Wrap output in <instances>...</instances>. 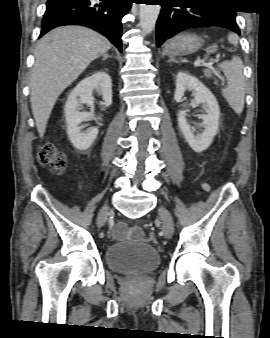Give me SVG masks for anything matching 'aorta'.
<instances>
[{"label": "aorta", "instance_id": "1", "mask_svg": "<svg viewBox=\"0 0 270 338\" xmlns=\"http://www.w3.org/2000/svg\"><path fill=\"white\" fill-rule=\"evenodd\" d=\"M160 13L159 5L141 4L139 11L140 26L146 33H150L156 24Z\"/></svg>", "mask_w": 270, "mask_h": 338}]
</instances>
